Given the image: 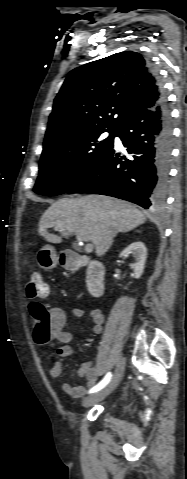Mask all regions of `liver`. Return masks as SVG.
Here are the masks:
<instances>
[{
	"label": "liver",
	"instance_id": "6515ba94",
	"mask_svg": "<svg viewBox=\"0 0 187 479\" xmlns=\"http://www.w3.org/2000/svg\"><path fill=\"white\" fill-rule=\"evenodd\" d=\"M146 222L145 214L122 200L101 195L63 198L53 203L39 221L38 233L48 242L76 235L90 241L98 257L112 246L118 232H129ZM54 227L61 236L48 232Z\"/></svg>",
	"mask_w": 187,
	"mask_h": 479
}]
</instances>
